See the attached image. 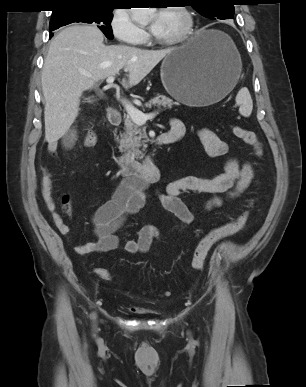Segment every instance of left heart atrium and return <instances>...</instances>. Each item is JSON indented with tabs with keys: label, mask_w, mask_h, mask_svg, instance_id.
<instances>
[{
	"label": "left heart atrium",
	"mask_w": 306,
	"mask_h": 387,
	"mask_svg": "<svg viewBox=\"0 0 306 387\" xmlns=\"http://www.w3.org/2000/svg\"><path fill=\"white\" fill-rule=\"evenodd\" d=\"M160 29V18H156L153 20L150 26L151 32L155 35Z\"/></svg>",
	"instance_id": "39dd6f15"
}]
</instances>
